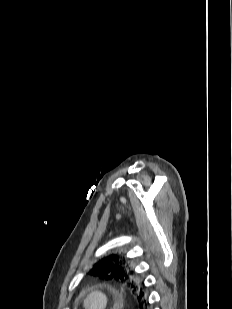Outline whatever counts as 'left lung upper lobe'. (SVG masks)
<instances>
[{"instance_id":"1","label":"left lung upper lobe","mask_w":232,"mask_h":309,"mask_svg":"<svg viewBox=\"0 0 232 309\" xmlns=\"http://www.w3.org/2000/svg\"><path fill=\"white\" fill-rule=\"evenodd\" d=\"M88 274L108 281H117L130 286L132 296L138 304L147 302L145 287L134 282V272L125 257L116 254L106 256L96 262Z\"/></svg>"}]
</instances>
